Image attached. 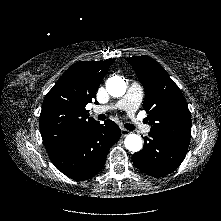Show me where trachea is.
I'll use <instances>...</instances> for the list:
<instances>
[{
  "label": "trachea",
  "instance_id": "3493384b",
  "mask_svg": "<svg viewBox=\"0 0 221 221\" xmlns=\"http://www.w3.org/2000/svg\"><path fill=\"white\" fill-rule=\"evenodd\" d=\"M98 119L99 120H105L106 116L104 114H100V115H98ZM124 126H125L126 129H128L130 131L135 129V126L133 124L126 123Z\"/></svg>",
  "mask_w": 221,
  "mask_h": 221
}]
</instances>
